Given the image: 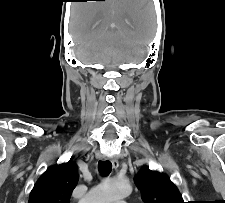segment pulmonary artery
<instances>
[{
    "instance_id": "e3ab8cb5",
    "label": "pulmonary artery",
    "mask_w": 225,
    "mask_h": 203,
    "mask_svg": "<svg viewBox=\"0 0 225 203\" xmlns=\"http://www.w3.org/2000/svg\"><path fill=\"white\" fill-rule=\"evenodd\" d=\"M115 203H126V202H124V201H116Z\"/></svg>"
}]
</instances>
